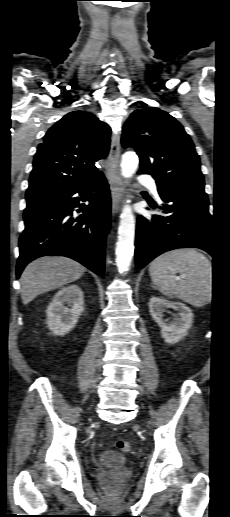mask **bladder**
<instances>
[{
	"mask_svg": "<svg viewBox=\"0 0 230 517\" xmlns=\"http://www.w3.org/2000/svg\"><path fill=\"white\" fill-rule=\"evenodd\" d=\"M128 460V456L111 449L103 450L97 457V463L105 467H122Z\"/></svg>",
	"mask_w": 230,
	"mask_h": 517,
	"instance_id": "obj_1",
	"label": "bladder"
}]
</instances>
